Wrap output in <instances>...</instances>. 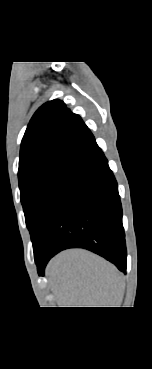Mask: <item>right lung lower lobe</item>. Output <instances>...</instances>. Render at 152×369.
Segmentation results:
<instances>
[{
  "instance_id": "right-lung-lower-lobe-1",
  "label": "right lung lower lobe",
  "mask_w": 152,
  "mask_h": 369,
  "mask_svg": "<svg viewBox=\"0 0 152 369\" xmlns=\"http://www.w3.org/2000/svg\"><path fill=\"white\" fill-rule=\"evenodd\" d=\"M67 248L88 249L126 272L122 207L115 177L96 146L76 165L34 250L38 273Z\"/></svg>"
}]
</instances>
